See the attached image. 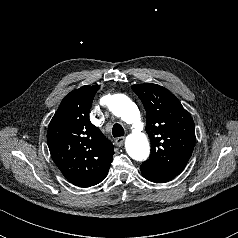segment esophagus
I'll return each mask as SVG.
<instances>
[{
	"instance_id": "1",
	"label": "esophagus",
	"mask_w": 238,
	"mask_h": 238,
	"mask_svg": "<svg viewBox=\"0 0 238 238\" xmlns=\"http://www.w3.org/2000/svg\"><path fill=\"white\" fill-rule=\"evenodd\" d=\"M124 140H125L124 137H118V138H116V139H115V145L118 146V147L123 146Z\"/></svg>"
}]
</instances>
